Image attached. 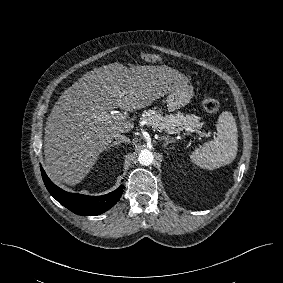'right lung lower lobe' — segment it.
<instances>
[{"label":"right lung lower lobe","instance_id":"obj_1","mask_svg":"<svg viewBox=\"0 0 283 283\" xmlns=\"http://www.w3.org/2000/svg\"><path fill=\"white\" fill-rule=\"evenodd\" d=\"M41 174L49 193L63 206L78 215H99L106 212L120 199L123 186L113 192L102 196H87L83 194L69 193L56 186L46 175L42 166Z\"/></svg>","mask_w":283,"mask_h":283}]
</instances>
